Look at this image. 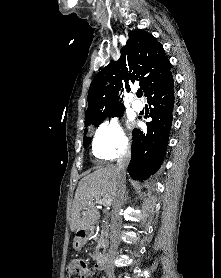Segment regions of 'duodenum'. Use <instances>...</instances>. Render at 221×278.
I'll return each instance as SVG.
<instances>
[{
    "mask_svg": "<svg viewBox=\"0 0 221 278\" xmlns=\"http://www.w3.org/2000/svg\"><path fill=\"white\" fill-rule=\"evenodd\" d=\"M90 231L87 228L82 229L78 234V240L79 242L83 243L86 241V239L89 237ZM108 256L106 253H98L96 255V264L95 268L98 270H102L105 268L107 264Z\"/></svg>",
    "mask_w": 221,
    "mask_h": 278,
    "instance_id": "410a0bca",
    "label": "duodenum"
}]
</instances>
